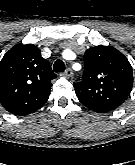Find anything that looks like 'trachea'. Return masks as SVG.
Segmentation results:
<instances>
[{
    "label": "trachea",
    "instance_id": "obj_1",
    "mask_svg": "<svg viewBox=\"0 0 135 165\" xmlns=\"http://www.w3.org/2000/svg\"><path fill=\"white\" fill-rule=\"evenodd\" d=\"M53 69L55 72H64L65 70L64 62L61 59L56 60L53 65Z\"/></svg>",
    "mask_w": 135,
    "mask_h": 165
}]
</instances>
